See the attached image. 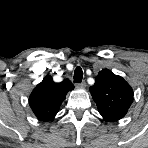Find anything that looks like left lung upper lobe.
Returning a JSON list of instances; mask_svg holds the SVG:
<instances>
[{"mask_svg": "<svg viewBox=\"0 0 148 148\" xmlns=\"http://www.w3.org/2000/svg\"><path fill=\"white\" fill-rule=\"evenodd\" d=\"M90 92L99 113L110 122L123 118L133 102L131 86L108 69L98 73Z\"/></svg>", "mask_w": 148, "mask_h": 148, "instance_id": "1", "label": "left lung upper lobe"}]
</instances>
